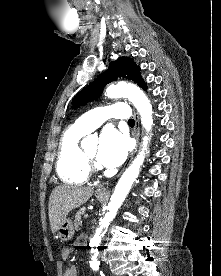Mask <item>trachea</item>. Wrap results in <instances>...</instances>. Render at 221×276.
I'll use <instances>...</instances> for the list:
<instances>
[{
  "label": "trachea",
  "instance_id": "trachea-1",
  "mask_svg": "<svg viewBox=\"0 0 221 276\" xmlns=\"http://www.w3.org/2000/svg\"><path fill=\"white\" fill-rule=\"evenodd\" d=\"M128 124H135V121L133 120V119H130L129 121H128Z\"/></svg>",
  "mask_w": 221,
  "mask_h": 276
}]
</instances>
